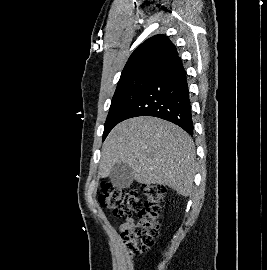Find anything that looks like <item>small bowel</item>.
Returning <instances> with one entry per match:
<instances>
[{"instance_id": "obj_1", "label": "small bowel", "mask_w": 267, "mask_h": 270, "mask_svg": "<svg viewBox=\"0 0 267 270\" xmlns=\"http://www.w3.org/2000/svg\"><path fill=\"white\" fill-rule=\"evenodd\" d=\"M131 222V219H127L121 226H120V230L122 231L124 228H126L129 223Z\"/></svg>"}]
</instances>
